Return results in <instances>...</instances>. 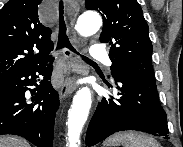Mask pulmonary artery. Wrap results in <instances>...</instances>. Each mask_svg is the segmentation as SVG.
Listing matches in <instances>:
<instances>
[{
  "instance_id": "obj_1",
  "label": "pulmonary artery",
  "mask_w": 183,
  "mask_h": 147,
  "mask_svg": "<svg viewBox=\"0 0 183 147\" xmlns=\"http://www.w3.org/2000/svg\"><path fill=\"white\" fill-rule=\"evenodd\" d=\"M89 54L94 59L104 60L107 56L105 49L100 44H94L89 50ZM106 64L110 65V61L106 60Z\"/></svg>"
}]
</instances>
